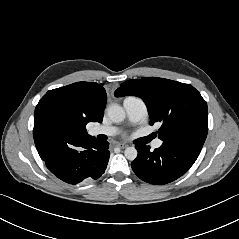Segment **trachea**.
<instances>
[{
	"instance_id": "obj_1",
	"label": "trachea",
	"mask_w": 239,
	"mask_h": 239,
	"mask_svg": "<svg viewBox=\"0 0 239 239\" xmlns=\"http://www.w3.org/2000/svg\"><path fill=\"white\" fill-rule=\"evenodd\" d=\"M152 138L153 137L151 135L148 136V137L143 138V140H142L143 144L149 142Z\"/></svg>"
}]
</instances>
